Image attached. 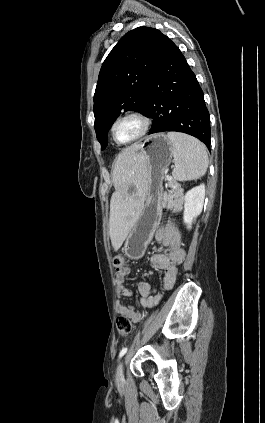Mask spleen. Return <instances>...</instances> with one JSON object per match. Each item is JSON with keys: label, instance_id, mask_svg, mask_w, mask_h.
<instances>
[{"label": "spleen", "instance_id": "spleen-1", "mask_svg": "<svg viewBox=\"0 0 265 423\" xmlns=\"http://www.w3.org/2000/svg\"><path fill=\"white\" fill-rule=\"evenodd\" d=\"M167 137L173 147L174 180L189 181L202 177L209 164L205 146L199 140L183 133L168 132Z\"/></svg>", "mask_w": 265, "mask_h": 423}]
</instances>
